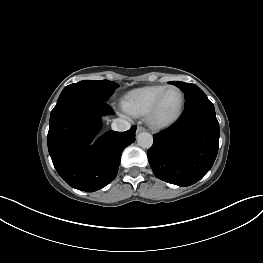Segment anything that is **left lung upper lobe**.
<instances>
[{"label": "left lung upper lobe", "instance_id": "1", "mask_svg": "<svg viewBox=\"0 0 263 263\" xmlns=\"http://www.w3.org/2000/svg\"><path fill=\"white\" fill-rule=\"evenodd\" d=\"M180 88L185 94V107H188L196 102L208 99L205 93L196 85L191 83H184L180 81L169 82Z\"/></svg>", "mask_w": 263, "mask_h": 263}]
</instances>
